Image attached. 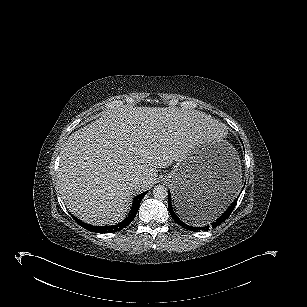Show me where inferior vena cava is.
Returning <instances> with one entry per match:
<instances>
[{
    "label": "inferior vena cava",
    "instance_id": "obj_1",
    "mask_svg": "<svg viewBox=\"0 0 307 307\" xmlns=\"http://www.w3.org/2000/svg\"><path fill=\"white\" fill-rule=\"evenodd\" d=\"M144 181L141 180V179H134L131 181L130 185L133 187V188H137L139 187Z\"/></svg>",
    "mask_w": 307,
    "mask_h": 307
}]
</instances>
